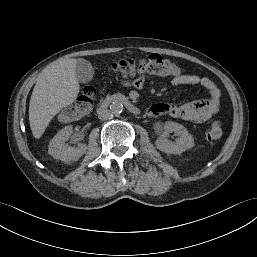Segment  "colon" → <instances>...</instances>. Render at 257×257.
I'll list each match as a JSON object with an SVG mask.
<instances>
[{
	"mask_svg": "<svg viewBox=\"0 0 257 257\" xmlns=\"http://www.w3.org/2000/svg\"><path fill=\"white\" fill-rule=\"evenodd\" d=\"M135 67L144 69L147 75L172 76L180 72V68L175 62L156 54L143 58L119 59L111 64L110 70L117 75L124 68L133 69ZM94 96L95 91L91 86L84 87L76 101L62 110L61 117L66 121H73L86 114L91 109ZM222 135V121L219 119L211 120L206 128L207 139L209 141H215L220 139Z\"/></svg>",
	"mask_w": 257,
	"mask_h": 257,
	"instance_id": "colon-1",
	"label": "colon"
}]
</instances>
